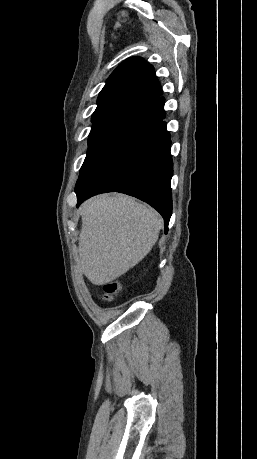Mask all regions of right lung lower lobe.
<instances>
[{
  "label": "right lung lower lobe",
  "instance_id": "obj_1",
  "mask_svg": "<svg viewBox=\"0 0 257 459\" xmlns=\"http://www.w3.org/2000/svg\"><path fill=\"white\" fill-rule=\"evenodd\" d=\"M164 116L161 98L120 126L106 148L80 171L75 187L77 206L96 194L125 193L154 207L163 216L167 233L173 164Z\"/></svg>",
  "mask_w": 257,
  "mask_h": 459
}]
</instances>
